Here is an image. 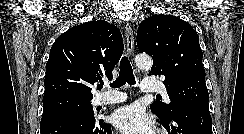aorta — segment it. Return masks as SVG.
Returning a JSON list of instances; mask_svg holds the SVG:
<instances>
[{
    "label": "aorta",
    "mask_w": 244,
    "mask_h": 134,
    "mask_svg": "<svg viewBox=\"0 0 244 134\" xmlns=\"http://www.w3.org/2000/svg\"><path fill=\"white\" fill-rule=\"evenodd\" d=\"M137 67L141 70H149L152 67V59L147 55H138L135 58Z\"/></svg>",
    "instance_id": "762f6f07"
}]
</instances>
